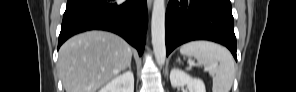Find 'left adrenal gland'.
I'll list each match as a JSON object with an SVG mask.
<instances>
[{
    "label": "left adrenal gland",
    "mask_w": 296,
    "mask_h": 92,
    "mask_svg": "<svg viewBox=\"0 0 296 92\" xmlns=\"http://www.w3.org/2000/svg\"><path fill=\"white\" fill-rule=\"evenodd\" d=\"M176 61L179 62V63L181 62L179 57H178V59Z\"/></svg>",
    "instance_id": "1"
}]
</instances>
